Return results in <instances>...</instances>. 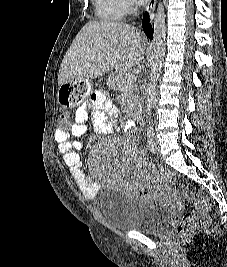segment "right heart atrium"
<instances>
[{"instance_id":"obj_1","label":"right heart atrium","mask_w":227,"mask_h":267,"mask_svg":"<svg viewBox=\"0 0 227 267\" xmlns=\"http://www.w3.org/2000/svg\"><path fill=\"white\" fill-rule=\"evenodd\" d=\"M124 11L131 12L135 9L136 0H120Z\"/></svg>"}]
</instances>
